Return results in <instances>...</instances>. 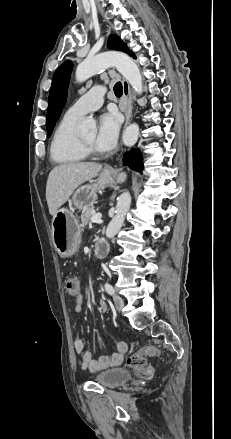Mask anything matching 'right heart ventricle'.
<instances>
[{"instance_id":"e07e8e85","label":"right heart ventricle","mask_w":231,"mask_h":439,"mask_svg":"<svg viewBox=\"0 0 231 439\" xmlns=\"http://www.w3.org/2000/svg\"><path fill=\"white\" fill-rule=\"evenodd\" d=\"M78 118L65 115L57 125L50 144V157L58 165H73L86 159L77 133Z\"/></svg>"}]
</instances>
